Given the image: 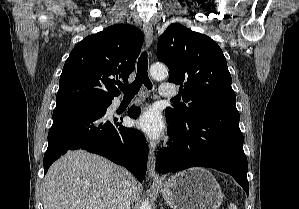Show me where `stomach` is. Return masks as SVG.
Instances as JSON below:
<instances>
[{
    "label": "stomach",
    "instance_id": "1",
    "mask_svg": "<svg viewBox=\"0 0 299 209\" xmlns=\"http://www.w3.org/2000/svg\"><path fill=\"white\" fill-rule=\"evenodd\" d=\"M158 188L172 209H218L223 200L218 182L204 168L179 172Z\"/></svg>",
    "mask_w": 299,
    "mask_h": 209
}]
</instances>
